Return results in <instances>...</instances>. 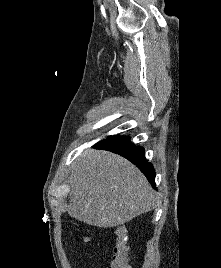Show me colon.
<instances>
[{"label": "colon", "instance_id": "colon-1", "mask_svg": "<svg viewBox=\"0 0 221 268\" xmlns=\"http://www.w3.org/2000/svg\"><path fill=\"white\" fill-rule=\"evenodd\" d=\"M116 247L114 249V256L109 268H128V258H127V231L125 227L119 226L116 228ZM89 238L86 237L85 241H88Z\"/></svg>", "mask_w": 221, "mask_h": 268}]
</instances>
